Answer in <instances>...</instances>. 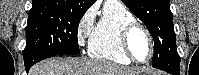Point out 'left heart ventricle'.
<instances>
[{"mask_svg": "<svg viewBox=\"0 0 199 75\" xmlns=\"http://www.w3.org/2000/svg\"><path fill=\"white\" fill-rule=\"evenodd\" d=\"M129 46L132 54L138 61L147 59L150 53L149 41L143 31L135 29L129 38Z\"/></svg>", "mask_w": 199, "mask_h": 75, "instance_id": "obj_1", "label": "left heart ventricle"}]
</instances>
